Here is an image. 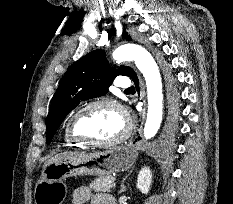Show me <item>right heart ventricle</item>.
<instances>
[{
	"label": "right heart ventricle",
	"instance_id": "1",
	"mask_svg": "<svg viewBox=\"0 0 233 204\" xmlns=\"http://www.w3.org/2000/svg\"><path fill=\"white\" fill-rule=\"evenodd\" d=\"M64 141H65L66 145L69 147L82 148L85 146V144H83L82 142L77 141L71 137V135L69 134V131H68V123H67V125L65 127V131H64Z\"/></svg>",
	"mask_w": 233,
	"mask_h": 204
}]
</instances>
